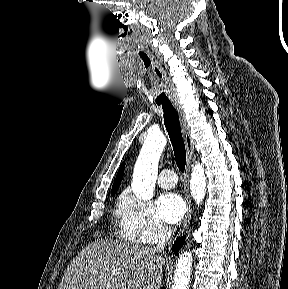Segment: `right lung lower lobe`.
<instances>
[{
  "label": "right lung lower lobe",
  "mask_w": 288,
  "mask_h": 289,
  "mask_svg": "<svg viewBox=\"0 0 288 289\" xmlns=\"http://www.w3.org/2000/svg\"><path fill=\"white\" fill-rule=\"evenodd\" d=\"M184 242H185V237H179L176 239V241L172 247V250L174 251L175 254H178V251L182 247Z\"/></svg>",
  "instance_id": "98d812e1"
}]
</instances>
